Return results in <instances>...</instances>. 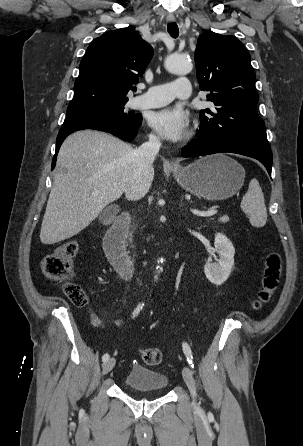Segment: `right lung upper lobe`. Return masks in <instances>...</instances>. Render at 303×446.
<instances>
[{"label": "right lung upper lobe", "mask_w": 303, "mask_h": 446, "mask_svg": "<svg viewBox=\"0 0 303 446\" xmlns=\"http://www.w3.org/2000/svg\"><path fill=\"white\" fill-rule=\"evenodd\" d=\"M152 47L130 28L104 33L81 60L74 99L67 110H87L127 102V93L144 73Z\"/></svg>", "instance_id": "obj_1"}]
</instances>
